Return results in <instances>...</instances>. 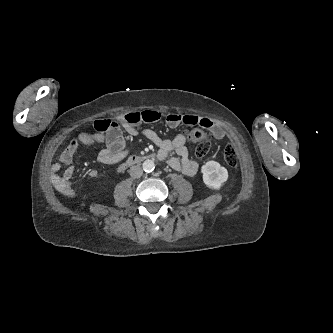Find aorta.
Instances as JSON below:
<instances>
[{"instance_id":"762f6f07","label":"aorta","mask_w":333,"mask_h":333,"mask_svg":"<svg viewBox=\"0 0 333 333\" xmlns=\"http://www.w3.org/2000/svg\"><path fill=\"white\" fill-rule=\"evenodd\" d=\"M142 168H143V170L145 172H152V171H154V169H155L154 161L149 160V159L145 160L143 162V164H142Z\"/></svg>"}]
</instances>
